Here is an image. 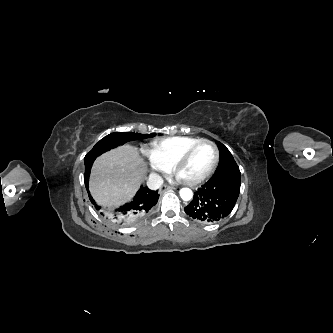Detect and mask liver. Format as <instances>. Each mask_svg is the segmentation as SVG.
<instances>
[{"instance_id": "liver-1", "label": "liver", "mask_w": 333, "mask_h": 333, "mask_svg": "<svg viewBox=\"0 0 333 333\" xmlns=\"http://www.w3.org/2000/svg\"><path fill=\"white\" fill-rule=\"evenodd\" d=\"M146 170L138 149L123 145L95 160L89 190L99 205L118 206L134 196Z\"/></svg>"}]
</instances>
